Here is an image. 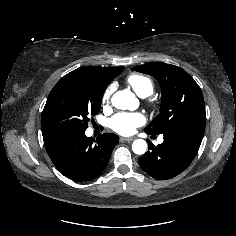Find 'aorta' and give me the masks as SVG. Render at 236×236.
Returning a JSON list of instances; mask_svg holds the SVG:
<instances>
[{"label": "aorta", "mask_w": 236, "mask_h": 236, "mask_svg": "<svg viewBox=\"0 0 236 236\" xmlns=\"http://www.w3.org/2000/svg\"><path fill=\"white\" fill-rule=\"evenodd\" d=\"M112 105L118 109H127L133 102L135 98L133 94L128 90H122L116 92L112 96ZM132 150L137 155H143L147 151V143L145 140L137 139L132 144Z\"/></svg>", "instance_id": "762f6f07"}]
</instances>
